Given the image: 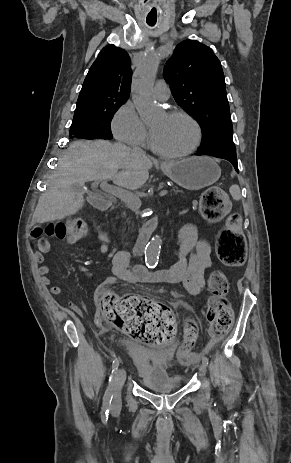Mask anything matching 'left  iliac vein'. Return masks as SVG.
<instances>
[{
  "label": "left iliac vein",
  "mask_w": 291,
  "mask_h": 463,
  "mask_svg": "<svg viewBox=\"0 0 291 463\" xmlns=\"http://www.w3.org/2000/svg\"><path fill=\"white\" fill-rule=\"evenodd\" d=\"M206 369H207V365H205L204 363H201L199 365V371L202 375H205L206 374Z\"/></svg>",
  "instance_id": "obj_1"
}]
</instances>
